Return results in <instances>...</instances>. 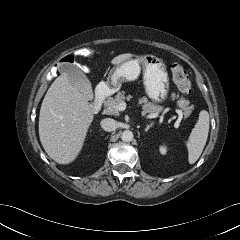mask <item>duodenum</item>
Listing matches in <instances>:
<instances>
[{
	"label": "duodenum",
	"mask_w": 240,
	"mask_h": 240,
	"mask_svg": "<svg viewBox=\"0 0 240 240\" xmlns=\"http://www.w3.org/2000/svg\"><path fill=\"white\" fill-rule=\"evenodd\" d=\"M111 91V87L104 83L101 84L95 91V98L91 104L92 110L94 112H97L100 110L102 103L105 99V97L108 95V93Z\"/></svg>",
	"instance_id": "1"
}]
</instances>
